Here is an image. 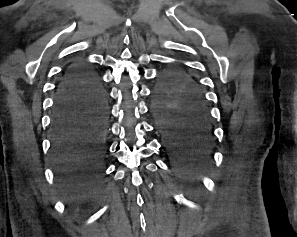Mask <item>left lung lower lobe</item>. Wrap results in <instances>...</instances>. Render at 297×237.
I'll return each mask as SVG.
<instances>
[{
	"instance_id": "0a47b994",
	"label": "left lung lower lobe",
	"mask_w": 297,
	"mask_h": 237,
	"mask_svg": "<svg viewBox=\"0 0 297 237\" xmlns=\"http://www.w3.org/2000/svg\"><path fill=\"white\" fill-rule=\"evenodd\" d=\"M153 112L164 146L176 160L185 163L207 160L214 135L207 106L187 101L175 106L154 105Z\"/></svg>"
}]
</instances>
